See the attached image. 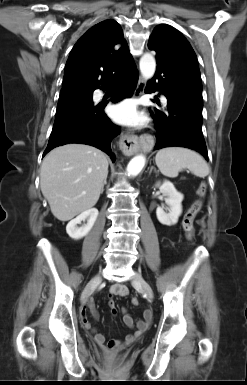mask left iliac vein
I'll use <instances>...</instances> for the list:
<instances>
[{"label":"left iliac vein","mask_w":247,"mask_h":385,"mask_svg":"<svg viewBox=\"0 0 247 385\" xmlns=\"http://www.w3.org/2000/svg\"><path fill=\"white\" fill-rule=\"evenodd\" d=\"M132 283L140 288L142 292L147 296L148 299L152 300L154 298V293L149 285V283L142 277V275L138 272L135 273Z\"/></svg>","instance_id":"obj_1"}]
</instances>
